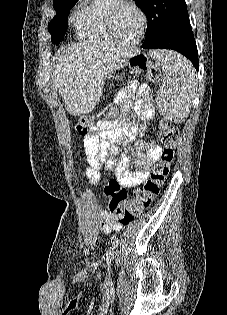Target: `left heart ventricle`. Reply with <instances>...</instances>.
Returning <instances> with one entry per match:
<instances>
[{"label": "left heart ventricle", "mask_w": 227, "mask_h": 315, "mask_svg": "<svg viewBox=\"0 0 227 315\" xmlns=\"http://www.w3.org/2000/svg\"><path fill=\"white\" fill-rule=\"evenodd\" d=\"M116 37L123 43H130L137 39L141 29V17L130 6H121L114 20Z\"/></svg>", "instance_id": "1"}]
</instances>
